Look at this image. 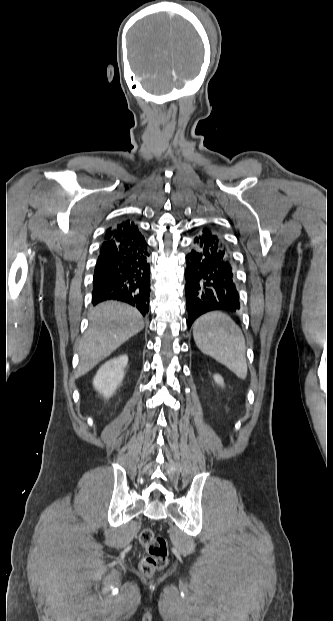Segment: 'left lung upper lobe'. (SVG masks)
<instances>
[{
    "instance_id": "5c2ea615",
    "label": "left lung upper lobe",
    "mask_w": 333,
    "mask_h": 621,
    "mask_svg": "<svg viewBox=\"0 0 333 621\" xmlns=\"http://www.w3.org/2000/svg\"><path fill=\"white\" fill-rule=\"evenodd\" d=\"M221 239H222V238H221ZM222 241H223V244L227 245L226 241H224L223 239H222Z\"/></svg>"
}]
</instances>
